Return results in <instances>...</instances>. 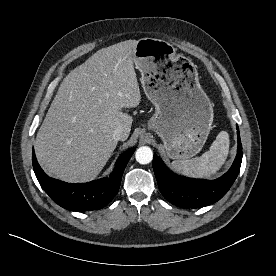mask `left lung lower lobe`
<instances>
[{
	"label": "left lung lower lobe",
	"mask_w": 276,
	"mask_h": 276,
	"mask_svg": "<svg viewBox=\"0 0 276 276\" xmlns=\"http://www.w3.org/2000/svg\"><path fill=\"white\" fill-rule=\"evenodd\" d=\"M237 135V155L231 168L223 176L213 181L175 175L154 154L153 169L164 198L182 208H201L220 200L230 189L240 171L243 154L238 126Z\"/></svg>",
	"instance_id": "left-lung-lower-lobe-1"
}]
</instances>
